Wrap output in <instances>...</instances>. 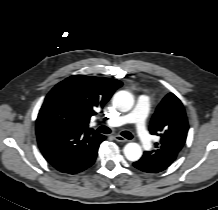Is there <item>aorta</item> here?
Returning <instances> with one entry per match:
<instances>
[{
	"label": "aorta",
	"mask_w": 218,
	"mask_h": 210,
	"mask_svg": "<svg viewBox=\"0 0 218 210\" xmlns=\"http://www.w3.org/2000/svg\"><path fill=\"white\" fill-rule=\"evenodd\" d=\"M113 104L121 112H128L134 105V98L128 91H119L113 96ZM123 151L129 161H137L142 156L141 146L134 142L127 143Z\"/></svg>",
	"instance_id": "1"
}]
</instances>
